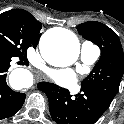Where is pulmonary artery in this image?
<instances>
[{
	"label": "pulmonary artery",
	"mask_w": 124,
	"mask_h": 124,
	"mask_svg": "<svg viewBox=\"0 0 124 124\" xmlns=\"http://www.w3.org/2000/svg\"><path fill=\"white\" fill-rule=\"evenodd\" d=\"M100 56V49L91 42H84L81 45L80 58L87 64H94Z\"/></svg>",
	"instance_id": "1"
}]
</instances>
